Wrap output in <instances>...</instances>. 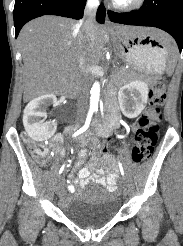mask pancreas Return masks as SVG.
<instances>
[{"mask_svg": "<svg viewBox=\"0 0 183 246\" xmlns=\"http://www.w3.org/2000/svg\"><path fill=\"white\" fill-rule=\"evenodd\" d=\"M120 71H122V72H124V73H129V72H130V70H126V69H124V68L120 69Z\"/></svg>", "mask_w": 183, "mask_h": 246, "instance_id": "1", "label": "pancreas"}]
</instances>
